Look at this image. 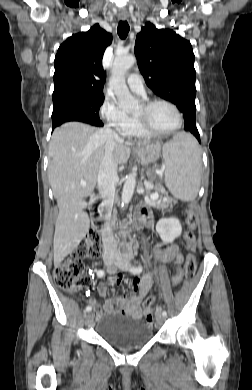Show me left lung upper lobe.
<instances>
[{"label":"left lung upper lobe","mask_w":252,"mask_h":390,"mask_svg":"<svg viewBox=\"0 0 252 390\" xmlns=\"http://www.w3.org/2000/svg\"><path fill=\"white\" fill-rule=\"evenodd\" d=\"M135 55L146 84L183 113L195 114L194 53L189 41L148 22L137 34Z\"/></svg>","instance_id":"5c2ea615"}]
</instances>
